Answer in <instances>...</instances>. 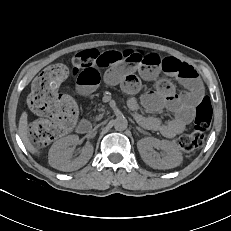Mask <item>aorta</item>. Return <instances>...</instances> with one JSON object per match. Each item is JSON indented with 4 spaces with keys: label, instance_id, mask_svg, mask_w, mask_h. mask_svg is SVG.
<instances>
[{
    "label": "aorta",
    "instance_id": "762f6f07",
    "mask_svg": "<svg viewBox=\"0 0 231 231\" xmlns=\"http://www.w3.org/2000/svg\"><path fill=\"white\" fill-rule=\"evenodd\" d=\"M113 125L117 131H124L128 126V121L125 117L119 116L114 120Z\"/></svg>",
    "mask_w": 231,
    "mask_h": 231
}]
</instances>
